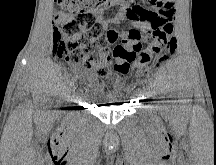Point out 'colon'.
I'll list each match as a JSON object with an SVG mask.
<instances>
[{"instance_id":"obj_1","label":"colon","mask_w":216,"mask_h":165,"mask_svg":"<svg viewBox=\"0 0 216 165\" xmlns=\"http://www.w3.org/2000/svg\"><path fill=\"white\" fill-rule=\"evenodd\" d=\"M60 10L54 17L53 41L55 53L74 65L92 71L100 79H106L113 69L124 71L133 64L137 68L166 61L174 52V10H156L150 13H130V16L148 20V30H128L123 43L109 48L108 39L97 13L108 7L112 0H55ZM150 39L146 49L140 40Z\"/></svg>"}]
</instances>
